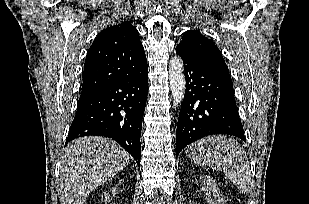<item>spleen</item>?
<instances>
[{"label":"spleen","instance_id":"spleen-1","mask_svg":"<svg viewBox=\"0 0 309 204\" xmlns=\"http://www.w3.org/2000/svg\"><path fill=\"white\" fill-rule=\"evenodd\" d=\"M188 157L199 167L222 171L242 192L251 191V171L244 148L223 135L209 136L191 144Z\"/></svg>","mask_w":309,"mask_h":204}]
</instances>
